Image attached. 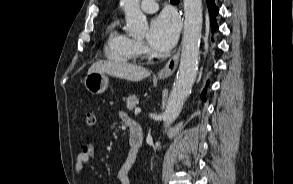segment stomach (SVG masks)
I'll return each mask as SVG.
<instances>
[{"instance_id":"obj_1","label":"stomach","mask_w":293,"mask_h":184,"mask_svg":"<svg viewBox=\"0 0 293 184\" xmlns=\"http://www.w3.org/2000/svg\"><path fill=\"white\" fill-rule=\"evenodd\" d=\"M109 79L105 73L93 72L88 73L84 79V85L92 94H101L108 87Z\"/></svg>"}]
</instances>
